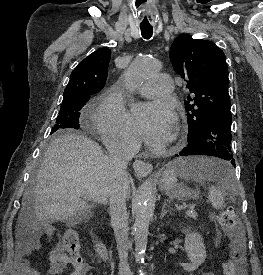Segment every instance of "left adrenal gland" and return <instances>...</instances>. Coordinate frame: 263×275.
<instances>
[{
  "instance_id": "obj_1",
  "label": "left adrenal gland",
  "mask_w": 263,
  "mask_h": 275,
  "mask_svg": "<svg viewBox=\"0 0 263 275\" xmlns=\"http://www.w3.org/2000/svg\"><path fill=\"white\" fill-rule=\"evenodd\" d=\"M166 206H167V203L165 202L163 207H162V212H161V215H160V219H163L164 216L169 212V210H166Z\"/></svg>"
}]
</instances>
